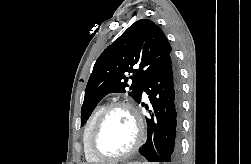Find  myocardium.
Listing matches in <instances>:
<instances>
[{
  "instance_id": "myocardium-1",
  "label": "myocardium",
  "mask_w": 251,
  "mask_h": 164,
  "mask_svg": "<svg viewBox=\"0 0 251 164\" xmlns=\"http://www.w3.org/2000/svg\"><path fill=\"white\" fill-rule=\"evenodd\" d=\"M118 108H124L130 112V114L132 115V117L135 121V124H136L137 135H136V139H135L134 144L132 145V147L128 151H126L125 153H122L120 155L107 156V155H104L98 151V149L96 147V140H97L99 132H100L105 120L107 119L108 115L113 110L118 109ZM144 137H145L144 122H143V119H142L140 113L136 109V107L128 101H116V102H113V103L107 105L104 108V110L100 113L97 120L95 121V124L92 128L90 138H89V150H90L91 154L99 161H104V162L119 161V160L126 159V158L130 157L131 155H133L142 145V143L144 141Z\"/></svg>"
}]
</instances>
